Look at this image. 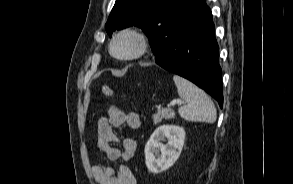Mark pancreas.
I'll list each match as a JSON object with an SVG mask.
<instances>
[{"label":"pancreas","instance_id":"obj_1","mask_svg":"<svg viewBox=\"0 0 293 184\" xmlns=\"http://www.w3.org/2000/svg\"><path fill=\"white\" fill-rule=\"evenodd\" d=\"M154 124L160 123L163 119L169 120L175 118V113L170 109H159L153 116Z\"/></svg>","mask_w":293,"mask_h":184}]
</instances>
